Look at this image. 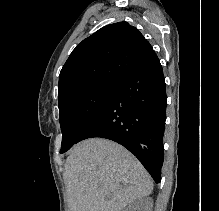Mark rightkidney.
Returning a JSON list of instances; mask_svg holds the SVG:
<instances>
[{"instance_id": "ca27d5eb", "label": "right kidney", "mask_w": 219, "mask_h": 211, "mask_svg": "<svg viewBox=\"0 0 219 211\" xmlns=\"http://www.w3.org/2000/svg\"><path fill=\"white\" fill-rule=\"evenodd\" d=\"M152 197H138L128 205L126 211H152Z\"/></svg>"}]
</instances>
